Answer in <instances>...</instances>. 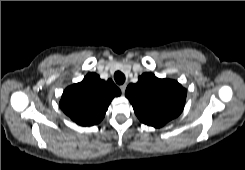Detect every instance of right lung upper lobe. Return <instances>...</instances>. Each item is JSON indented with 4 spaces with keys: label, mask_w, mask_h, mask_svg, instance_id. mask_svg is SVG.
<instances>
[{
    "label": "right lung upper lobe",
    "mask_w": 245,
    "mask_h": 170,
    "mask_svg": "<svg viewBox=\"0 0 245 170\" xmlns=\"http://www.w3.org/2000/svg\"><path fill=\"white\" fill-rule=\"evenodd\" d=\"M120 94L111 79L104 81L99 75L88 73L81 82L64 90L60 108L77 124L91 126L104 118L111 100Z\"/></svg>",
    "instance_id": "1"
}]
</instances>
